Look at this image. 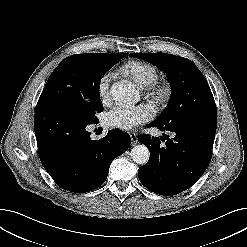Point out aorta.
<instances>
[{"instance_id": "aorta-1", "label": "aorta", "mask_w": 247, "mask_h": 247, "mask_svg": "<svg viewBox=\"0 0 247 247\" xmlns=\"http://www.w3.org/2000/svg\"><path fill=\"white\" fill-rule=\"evenodd\" d=\"M113 99L120 103H134L139 100V92L132 86L123 82L114 83L110 88ZM130 156L132 160L140 165L146 164L150 157L149 149L142 144L132 148Z\"/></svg>"}]
</instances>
